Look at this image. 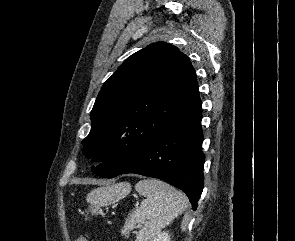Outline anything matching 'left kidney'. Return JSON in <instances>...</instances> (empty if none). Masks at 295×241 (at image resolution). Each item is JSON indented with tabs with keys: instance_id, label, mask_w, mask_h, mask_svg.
<instances>
[{
	"instance_id": "1",
	"label": "left kidney",
	"mask_w": 295,
	"mask_h": 241,
	"mask_svg": "<svg viewBox=\"0 0 295 241\" xmlns=\"http://www.w3.org/2000/svg\"><path fill=\"white\" fill-rule=\"evenodd\" d=\"M152 241H170V235L168 232H161Z\"/></svg>"
}]
</instances>
